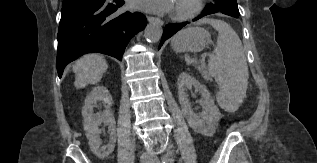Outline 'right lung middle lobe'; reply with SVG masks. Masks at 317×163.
Listing matches in <instances>:
<instances>
[{
	"mask_svg": "<svg viewBox=\"0 0 317 163\" xmlns=\"http://www.w3.org/2000/svg\"><path fill=\"white\" fill-rule=\"evenodd\" d=\"M84 1H86V0H69V1L63 2L62 6H63V8L71 7V6L78 5V4H80V3L84 2Z\"/></svg>",
	"mask_w": 317,
	"mask_h": 163,
	"instance_id": "1",
	"label": "right lung middle lobe"
}]
</instances>
